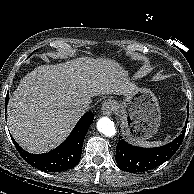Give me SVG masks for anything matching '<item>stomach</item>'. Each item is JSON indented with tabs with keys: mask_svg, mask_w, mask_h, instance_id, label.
Returning <instances> with one entry per match:
<instances>
[{
	"mask_svg": "<svg viewBox=\"0 0 194 194\" xmlns=\"http://www.w3.org/2000/svg\"><path fill=\"white\" fill-rule=\"evenodd\" d=\"M114 111L121 115L125 134L130 138L149 139L161 123L158 100L146 88H136L122 102L114 101Z\"/></svg>",
	"mask_w": 194,
	"mask_h": 194,
	"instance_id": "0dacf381",
	"label": "stomach"
}]
</instances>
